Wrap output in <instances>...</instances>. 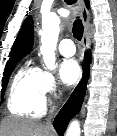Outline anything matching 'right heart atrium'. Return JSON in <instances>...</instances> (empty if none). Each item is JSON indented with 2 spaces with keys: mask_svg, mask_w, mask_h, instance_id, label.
<instances>
[{
  "mask_svg": "<svg viewBox=\"0 0 117 136\" xmlns=\"http://www.w3.org/2000/svg\"><path fill=\"white\" fill-rule=\"evenodd\" d=\"M39 87L43 100L57 95L58 85L56 79L47 71H40Z\"/></svg>",
  "mask_w": 117,
  "mask_h": 136,
  "instance_id": "right-heart-atrium-1",
  "label": "right heart atrium"
}]
</instances>
